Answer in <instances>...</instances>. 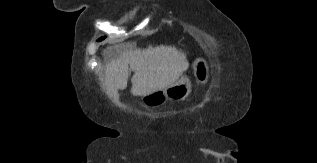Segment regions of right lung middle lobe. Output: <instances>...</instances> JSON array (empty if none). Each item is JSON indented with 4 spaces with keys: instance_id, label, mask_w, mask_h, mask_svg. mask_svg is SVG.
Segmentation results:
<instances>
[{
    "instance_id": "right-lung-middle-lobe-1",
    "label": "right lung middle lobe",
    "mask_w": 317,
    "mask_h": 163,
    "mask_svg": "<svg viewBox=\"0 0 317 163\" xmlns=\"http://www.w3.org/2000/svg\"><path fill=\"white\" fill-rule=\"evenodd\" d=\"M105 37H101L100 39H98V41H101V40H103Z\"/></svg>"
}]
</instances>
